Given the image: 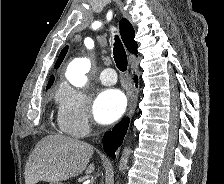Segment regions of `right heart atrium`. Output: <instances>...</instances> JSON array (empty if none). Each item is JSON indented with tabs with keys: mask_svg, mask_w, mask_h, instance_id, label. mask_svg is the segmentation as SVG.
<instances>
[{
	"mask_svg": "<svg viewBox=\"0 0 224 184\" xmlns=\"http://www.w3.org/2000/svg\"><path fill=\"white\" fill-rule=\"evenodd\" d=\"M58 123L61 129L75 137L88 135L92 126L91 107L87 95L80 89L64 86L58 96Z\"/></svg>",
	"mask_w": 224,
	"mask_h": 184,
	"instance_id": "d8ad5b80",
	"label": "right heart atrium"
}]
</instances>
